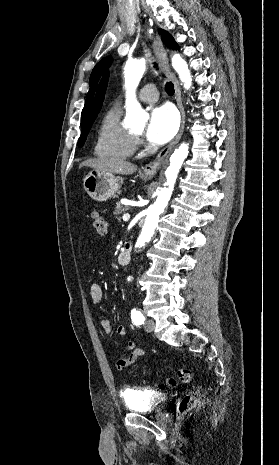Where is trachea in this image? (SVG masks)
Segmentation results:
<instances>
[{
  "label": "trachea",
  "mask_w": 279,
  "mask_h": 465,
  "mask_svg": "<svg viewBox=\"0 0 279 465\" xmlns=\"http://www.w3.org/2000/svg\"><path fill=\"white\" fill-rule=\"evenodd\" d=\"M154 67H158V65L156 63H154ZM165 90L167 92L168 95H173L174 94V85L172 82H167L166 85H165Z\"/></svg>",
  "instance_id": "1"
}]
</instances>
